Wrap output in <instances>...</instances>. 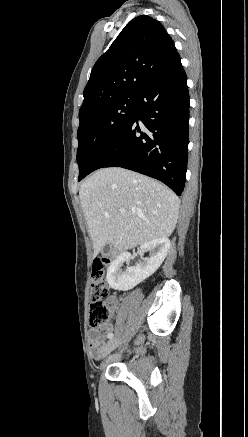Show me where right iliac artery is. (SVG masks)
I'll return each mask as SVG.
<instances>
[{"label": "right iliac artery", "instance_id": "obj_1", "mask_svg": "<svg viewBox=\"0 0 248 437\" xmlns=\"http://www.w3.org/2000/svg\"><path fill=\"white\" fill-rule=\"evenodd\" d=\"M113 336H114V334H113V333H109V334H108V338H109V339H112V338H113Z\"/></svg>", "mask_w": 248, "mask_h": 437}]
</instances>
